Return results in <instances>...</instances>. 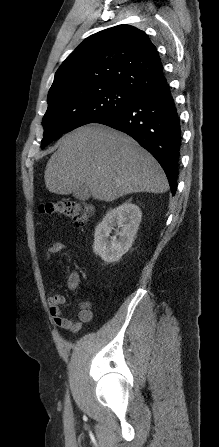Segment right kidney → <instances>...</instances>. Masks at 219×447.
Masks as SVG:
<instances>
[{
	"label": "right kidney",
	"mask_w": 219,
	"mask_h": 447,
	"mask_svg": "<svg viewBox=\"0 0 219 447\" xmlns=\"http://www.w3.org/2000/svg\"><path fill=\"white\" fill-rule=\"evenodd\" d=\"M141 217L140 208L131 202L109 210L95 228L94 253L107 263L118 261L132 246ZM112 230L114 236H110Z\"/></svg>",
	"instance_id": "right-kidney-1"
}]
</instances>
